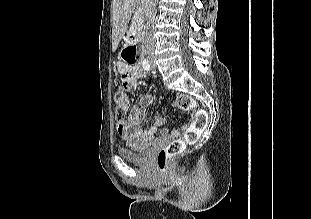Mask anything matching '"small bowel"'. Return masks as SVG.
I'll return each mask as SVG.
<instances>
[{
    "label": "small bowel",
    "mask_w": 311,
    "mask_h": 219,
    "mask_svg": "<svg viewBox=\"0 0 311 219\" xmlns=\"http://www.w3.org/2000/svg\"><path fill=\"white\" fill-rule=\"evenodd\" d=\"M116 70L126 78V87L128 91H134L137 86L138 79L141 77V70L137 65H129L122 61L115 63ZM153 103L151 95H143L138 102L130 108L127 120L117 122L116 128L118 133L124 138L128 144L137 142H148L155 137L158 129L165 124L162 116H155L152 124L147 129H142L141 124L144 118L146 107Z\"/></svg>",
    "instance_id": "c3829d8e"
}]
</instances>
